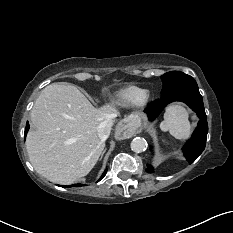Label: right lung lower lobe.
Listing matches in <instances>:
<instances>
[{
    "label": "right lung lower lobe",
    "mask_w": 233,
    "mask_h": 233,
    "mask_svg": "<svg viewBox=\"0 0 233 233\" xmlns=\"http://www.w3.org/2000/svg\"><path fill=\"white\" fill-rule=\"evenodd\" d=\"M28 130H29V123L27 122V124H26V128H25V133H24V137H26V134H27V132H28ZM106 172H107V169L104 171V173H103V175L101 176V178H100V180L106 175ZM71 186H74V187H78V186H83L82 184H74V185H71ZM71 186H69V187H71ZM64 187V186H63ZM66 187V186H65Z\"/></svg>",
    "instance_id": "98d812e1"
}]
</instances>
